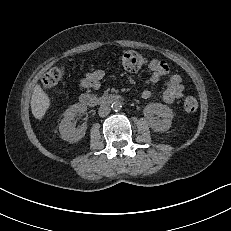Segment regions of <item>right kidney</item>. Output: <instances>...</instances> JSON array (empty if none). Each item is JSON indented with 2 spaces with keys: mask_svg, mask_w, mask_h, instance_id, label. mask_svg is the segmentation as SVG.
<instances>
[{
  "mask_svg": "<svg viewBox=\"0 0 231 231\" xmlns=\"http://www.w3.org/2000/svg\"><path fill=\"white\" fill-rule=\"evenodd\" d=\"M87 110V107L81 103H76L70 106L64 113V118L62 119L59 125V132L61 138L69 142H77L82 139L85 135L87 126L86 124L81 125L78 128H75L72 121L78 113H84Z\"/></svg>",
  "mask_w": 231,
  "mask_h": 231,
  "instance_id": "1",
  "label": "right kidney"
}]
</instances>
